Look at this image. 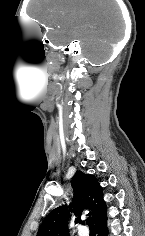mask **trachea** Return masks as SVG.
I'll return each instance as SVG.
<instances>
[{
    "label": "trachea",
    "instance_id": "trachea-1",
    "mask_svg": "<svg viewBox=\"0 0 145 236\" xmlns=\"http://www.w3.org/2000/svg\"><path fill=\"white\" fill-rule=\"evenodd\" d=\"M87 225L89 226L90 229H94V224L92 222V218L88 217L86 220Z\"/></svg>",
    "mask_w": 145,
    "mask_h": 236
}]
</instances>
